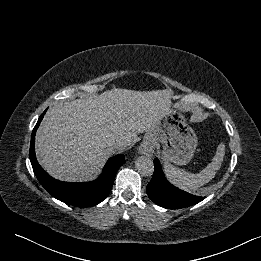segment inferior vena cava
Returning <instances> with one entry per match:
<instances>
[{
    "instance_id": "1",
    "label": "inferior vena cava",
    "mask_w": 261,
    "mask_h": 261,
    "mask_svg": "<svg viewBox=\"0 0 261 261\" xmlns=\"http://www.w3.org/2000/svg\"><path fill=\"white\" fill-rule=\"evenodd\" d=\"M127 145L126 142L122 141V140H118L113 144V149L115 150H121L123 148H125Z\"/></svg>"
}]
</instances>
